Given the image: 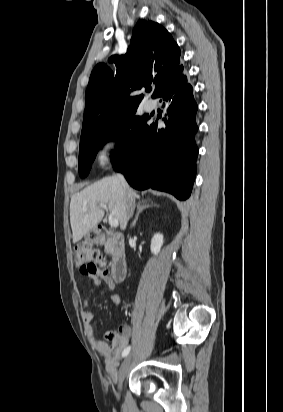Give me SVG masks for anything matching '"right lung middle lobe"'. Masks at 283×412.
I'll return each mask as SVG.
<instances>
[{
    "mask_svg": "<svg viewBox=\"0 0 283 412\" xmlns=\"http://www.w3.org/2000/svg\"><path fill=\"white\" fill-rule=\"evenodd\" d=\"M136 109L127 115L117 126L100 133L91 134L80 140L79 174L84 178L88 175L92 162L99 148L111 139L118 138L120 147L113 157V162L120 161L132 147L135 137L145 125L149 116H135ZM131 128V131L128 130Z\"/></svg>",
    "mask_w": 283,
    "mask_h": 412,
    "instance_id": "obj_1",
    "label": "right lung middle lobe"
}]
</instances>
